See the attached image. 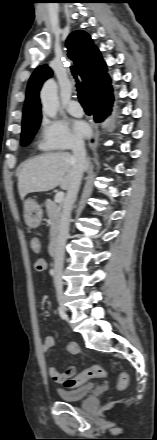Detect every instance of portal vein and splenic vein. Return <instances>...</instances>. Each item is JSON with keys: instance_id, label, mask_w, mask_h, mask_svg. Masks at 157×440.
Segmentation results:
<instances>
[{"instance_id": "18ae733b", "label": "portal vein and splenic vein", "mask_w": 157, "mask_h": 440, "mask_svg": "<svg viewBox=\"0 0 157 440\" xmlns=\"http://www.w3.org/2000/svg\"><path fill=\"white\" fill-rule=\"evenodd\" d=\"M63 199H64V192L61 191L55 195V203H61Z\"/></svg>"}]
</instances>
